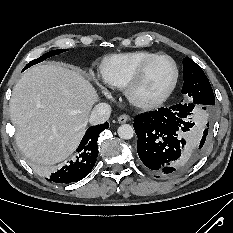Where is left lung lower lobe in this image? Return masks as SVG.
Here are the masks:
<instances>
[{
  "label": "left lung lower lobe",
  "instance_id": "left-lung-lower-lobe-1",
  "mask_svg": "<svg viewBox=\"0 0 233 233\" xmlns=\"http://www.w3.org/2000/svg\"><path fill=\"white\" fill-rule=\"evenodd\" d=\"M195 105L179 103L141 114L134 119L138 155L153 174L162 177L177 175L200 157L208 129L204 130L197 147L189 145L184 134L189 133L194 126V123L185 119L192 114ZM206 107L210 109L208 105L202 108Z\"/></svg>",
  "mask_w": 233,
  "mask_h": 233
}]
</instances>
